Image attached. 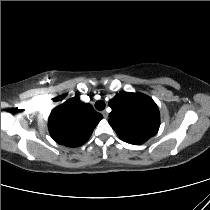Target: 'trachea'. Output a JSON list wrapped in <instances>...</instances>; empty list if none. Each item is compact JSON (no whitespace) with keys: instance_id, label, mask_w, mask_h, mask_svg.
<instances>
[{"instance_id":"3493384b","label":"trachea","mask_w":210,"mask_h":210,"mask_svg":"<svg viewBox=\"0 0 210 210\" xmlns=\"http://www.w3.org/2000/svg\"><path fill=\"white\" fill-rule=\"evenodd\" d=\"M95 108L99 111H102L105 108V102L103 100H99L95 103Z\"/></svg>"}]
</instances>
